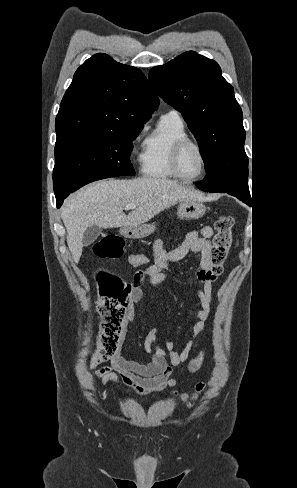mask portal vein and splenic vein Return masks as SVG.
I'll return each mask as SVG.
<instances>
[{"instance_id":"18ae733b","label":"portal vein and splenic vein","mask_w":297,"mask_h":488,"mask_svg":"<svg viewBox=\"0 0 297 488\" xmlns=\"http://www.w3.org/2000/svg\"><path fill=\"white\" fill-rule=\"evenodd\" d=\"M137 206L135 204H127L125 206V209L129 210V209H135Z\"/></svg>"}]
</instances>
